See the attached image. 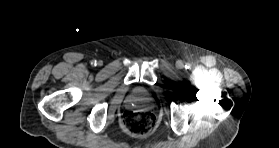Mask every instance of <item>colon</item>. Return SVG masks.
Listing matches in <instances>:
<instances>
[{
  "label": "colon",
  "mask_w": 279,
  "mask_h": 148,
  "mask_svg": "<svg viewBox=\"0 0 279 148\" xmlns=\"http://www.w3.org/2000/svg\"><path fill=\"white\" fill-rule=\"evenodd\" d=\"M156 125V116L148 111H126L121 118V126L123 130L134 136L146 135L152 132Z\"/></svg>",
  "instance_id": "1"
}]
</instances>
